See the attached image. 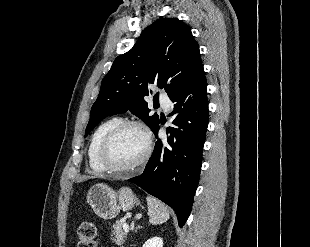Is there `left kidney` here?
Segmentation results:
<instances>
[{"label": "left kidney", "instance_id": "1", "mask_svg": "<svg viewBox=\"0 0 310 247\" xmlns=\"http://www.w3.org/2000/svg\"><path fill=\"white\" fill-rule=\"evenodd\" d=\"M142 247H163V240L160 237L150 238Z\"/></svg>", "mask_w": 310, "mask_h": 247}]
</instances>
